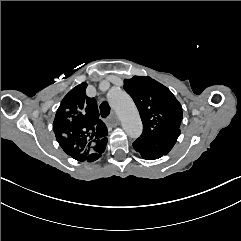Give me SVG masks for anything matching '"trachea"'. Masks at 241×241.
I'll list each match as a JSON object with an SVG mask.
<instances>
[{
  "label": "trachea",
  "mask_w": 241,
  "mask_h": 241,
  "mask_svg": "<svg viewBox=\"0 0 241 241\" xmlns=\"http://www.w3.org/2000/svg\"><path fill=\"white\" fill-rule=\"evenodd\" d=\"M100 113L103 118H106L110 114V106L106 101L101 103Z\"/></svg>",
  "instance_id": "3493384b"
}]
</instances>
